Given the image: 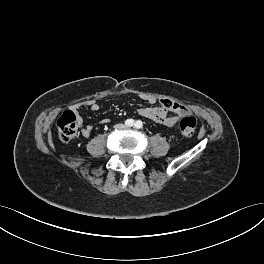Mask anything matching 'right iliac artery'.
<instances>
[{"mask_svg":"<svg viewBox=\"0 0 264 264\" xmlns=\"http://www.w3.org/2000/svg\"><path fill=\"white\" fill-rule=\"evenodd\" d=\"M134 124H135V122H134L133 119H127L125 121V125L128 126V127H132Z\"/></svg>","mask_w":264,"mask_h":264,"instance_id":"right-iliac-artery-1","label":"right iliac artery"}]
</instances>
